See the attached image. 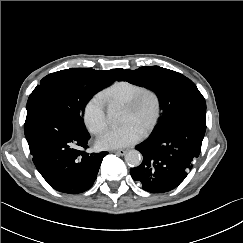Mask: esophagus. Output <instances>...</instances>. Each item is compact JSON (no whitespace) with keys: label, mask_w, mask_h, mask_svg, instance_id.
<instances>
[{"label":"esophagus","mask_w":243,"mask_h":243,"mask_svg":"<svg viewBox=\"0 0 243 243\" xmlns=\"http://www.w3.org/2000/svg\"><path fill=\"white\" fill-rule=\"evenodd\" d=\"M115 153L123 156V155H125L127 153V150L120 149V150H116Z\"/></svg>","instance_id":"esophagus-1"}]
</instances>
